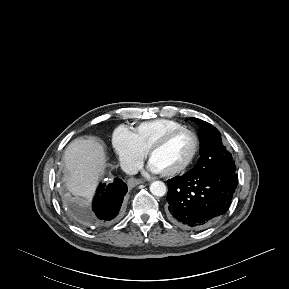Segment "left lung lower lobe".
<instances>
[{
    "label": "left lung lower lobe",
    "instance_id": "obj_1",
    "mask_svg": "<svg viewBox=\"0 0 289 289\" xmlns=\"http://www.w3.org/2000/svg\"><path fill=\"white\" fill-rule=\"evenodd\" d=\"M167 217L183 228L202 229L229 209L238 183L235 169L217 165L167 181Z\"/></svg>",
    "mask_w": 289,
    "mask_h": 289
}]
</instances>
